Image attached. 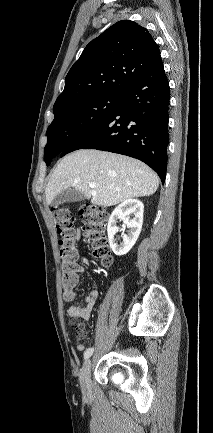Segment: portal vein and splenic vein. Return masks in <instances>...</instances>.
Listing matches in <instances>:
<instances>
[{
  "mask_svg": "<svg viewBox=\"0 0 213 433\" xmlns=\"http://www.w3.org/2000/svg\"><path fill=\"white\" fill-rule=\"evenodd\" d=\"M89 187H90L91 189L96 188V183H89Z\"/></svg>",
  "mask_w": 213,
  "mask_h": 433,
  "instance_id": "1",
  "label": "portal vein and splenic vein"
}]
</instances>
